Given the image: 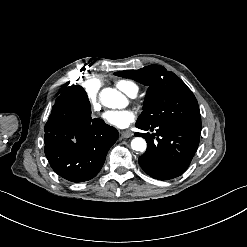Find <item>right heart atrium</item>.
<instances>
[{
  "label": "right heart atrium",
  "instance_id": "1",
  "mask_svg": "<svg viewBox=\"0 0 247 247\" xmlns=\"http://www.w3.org/2000/svg\"><path fill=\"white\" fill-rule=\"evenodd\" d=\"M102 80L99 77H87L84 80V91L89 95L90 111L100 114L103 111L104 93L100 90Z\"/></svg>",
  "mask_w": 247,
  "mask_h": 247
}]
</instances>
